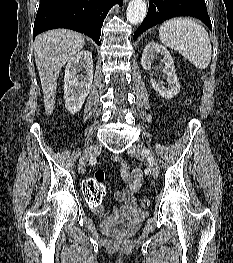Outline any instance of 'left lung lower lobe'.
I'll use <instances>...</instances> for the list:
<instances>
[{"instance_id": "left-lung-lower-lobe-1", "label": "left lung lower lobe", "mask_w": 233, "mask_h": 263, "mask_svg": "<svg viewBox=\"0 0 233 263\" xmlns=\"http://www.w3.org/2000/svg\"><path fill=\"white\" fill-rule=\"evenodd\" d=\"M177 16L196 17L212 29L204 0H151L147 16L134 33L133 39L136 40L141 33L164 20Z\"/></svg>"}]
</instances>
